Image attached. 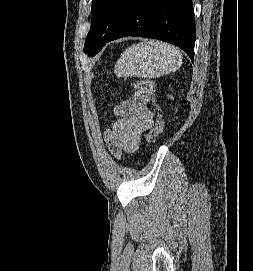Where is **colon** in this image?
<instances>
[{"mask_svg": "<svg viewBox=\"0 0 253 271\" xmlns=\"http://www.w3.org/2000/svg\"><path fill=\"white\" fill-rule=\"evenodd\" d=\"M137 87L140 92L153 94L154 93V83L149 80H142L137 82ZM162 133V121L160 117L157 118L155 126L147 134V143H154Z\"/></svg>", "mask_w": 253, "mask_h": 271, "instance_id": "1", "label": "colon"}]
</instances>
